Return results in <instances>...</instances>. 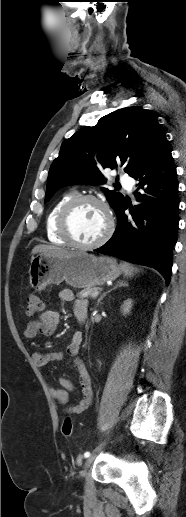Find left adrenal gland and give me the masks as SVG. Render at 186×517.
<instances>
[{"mask_svg":"<svg viewBox=\"0 0 186 517\" xmlns=\"http://www.w3.org/2000/svg\"><path fill=\"white\" fill-rule=\"evenodd\" d=\"M126 286H127V284H126V283H123V282L118 281V282H117V284L113 287V289H110L109 291L104 292V293L100 296V298H99V299H98V301H97L96 306H98V305L101 303V300H103V298H104L108 293H110L112 290H115V289H117V288H119V287H126Z\"/></svg>","mask_w":186,"mask_h":517,"instance_id":"obj_1","label":"left adrenal gland"}]
</instances>
